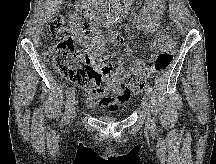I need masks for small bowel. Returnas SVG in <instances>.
I'll use <instances>...</instances> for the list:
<instances>
[{"mask_svg":"<svg viewBox=\"0 0 216 164\" xmlns=\"http://www.w3.org/2000/svg\"><path fill=\"white\" fill-rule=\"evenodd\" d=\"M164 9V0H145L136 21L137 28L155 35V40L150 46L154 53H160L168 46L167 31L161 29ZM71 17L77 22V27L72 34L85 49L83 57L92 64L105 68V85L85 91L86 104L90 108L100 107L108 111H116L130 99L129 86L133 76L147 67L149 62L136 58L134 49H124L126 62L129 65V70L125 71L121 61H116L117 52H109L105 48V43L109 40L121 49L123 39L117 34H101L94 25L81 23L77 14H71Z\"/></svg>","mask_w":216,"mask_h":164,"instance_id":"small-bowel-1","label":"small bowel"}]
</instances>
